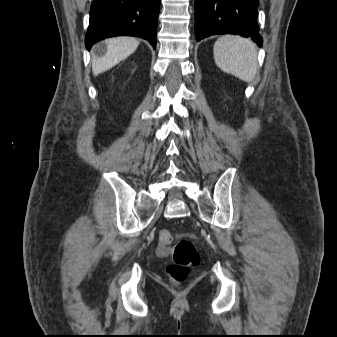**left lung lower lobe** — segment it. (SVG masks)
Returning <instances> with one entry per match:
<instances>
[{"instance_id": "left-lung-lower-lobe-1", "label": "left lung lower lobe", "mask_w": 337, "mask_h": 337, "mask_svg": "<svg viewBox=\"0 0 337 337\" xmlns=\"http://www.w3.org/2000/svg\"><path fill=\"white\" fill-rule=\"evenodd\" d=\"M258 0H195L196 40L215 34H237L262 46L257 24Z\"/></svg>"}]
</instances>
